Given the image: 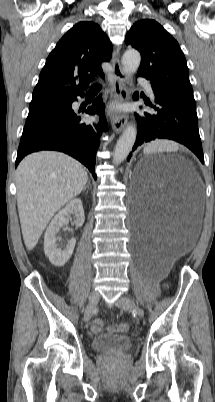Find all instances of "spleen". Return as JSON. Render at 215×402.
<instances>
[{
  "mask_svg": "<svg viewBox=\"0 0 215 402\" xmlns=\"http://www.w3.org/2000/svg\"><path fill=\"white\" fill-rule=\"evenodd\" d=\"M173 146L166 141H156L154 143H151L149 146L145 148L146 153H151L154 151H169L172 150Z\"/></svg>",
  "mask_w": 215,
  "mask_h": 402,
  "instance_id": "1",
  "label": "spleen"
}]
</instances>
